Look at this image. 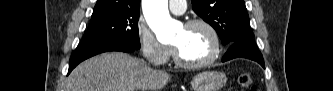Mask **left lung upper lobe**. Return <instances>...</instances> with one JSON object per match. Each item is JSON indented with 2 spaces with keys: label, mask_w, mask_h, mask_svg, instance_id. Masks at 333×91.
Wrapping results in <instances>:
<instances>
[{
  "label": "left lung upper lobe",
  "mask_w": 333,
  "mask_h": 91,
  "mask_svg": "<svg viewBox=\"0 0 333 91\" xmlns=\"http://www.w3.org/2000/svg\"><path fill=\"white\" fill-rule=\"evenodd\" d=\"M192 8L219 35L224 45L253 38L243 0H191Z\"/></svg>",
  "instance_id": "1"
}]
</instances>
